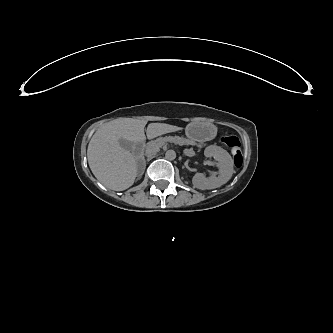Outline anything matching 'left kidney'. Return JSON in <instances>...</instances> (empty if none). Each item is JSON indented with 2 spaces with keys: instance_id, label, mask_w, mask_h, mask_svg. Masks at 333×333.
<instances>
[{
  "instance_id": "1",
  "label": "left kidney",
  "mask_w": 333,
  "mask_h": 333,
  "mask_svg": "<svg viewBox=\"0 0 333 333\" xmlns=\"http://www.w3.org/2000/svg\"><path fill=\"white\" fill-rule=\"evenodd\" d=\"M204 155L206 158H209L212 166L217 167V171L211 172L209 176L197 172L192 178L193 185L200 190H210L226 184L233 172L232 161L227 157V152L224 149L216 147L213 152L206 150ZM212 157L213 161H211Z\"/></svg>"
}]
</instances>
